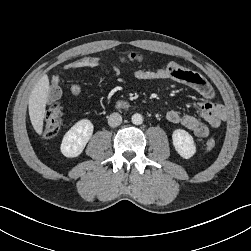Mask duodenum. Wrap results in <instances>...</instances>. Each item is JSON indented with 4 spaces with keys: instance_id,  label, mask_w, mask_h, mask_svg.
I'll use <instances>...</instances> for the list:
<instances>
[{
    "instance_id": "410a0bca",
    "label": "duodenum",
    "mask_w": 251,
    "mask_h": 251,
    "mask_svg": "<svg viewBox=\"0 0 251 251\" xmlns=\"http://www.w3.org/2000/svg\"><path fill=\"white\" fill-rule=\"evenodd\" d=\"M127 106H128V104L125 101H119V102H117V107H119V108H125Z\"/></svg>"
}]
</instances>
